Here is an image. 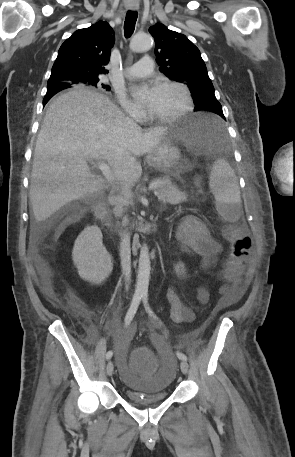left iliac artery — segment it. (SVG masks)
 Masks as SVG:
<instances>
[{"label":"left iliac artery","mask_w":295,"mask_h":457,"mask_svg":"<svg viewBox=\"0 0 295 457\" xmlns=\"http://www.w3.org/2000/svg\"><path fill=\"white\" fill-rule=\"evenodd\" d=\"M142 297H143V303H144V306H145V308H146V311L149 313V315H150L151 317H153L155 320H158L157 316L154 314V312L152 311V309L149 307V304H148V295H147L146 293H144V294L142 295ZM176 355H177L178 358H180V359H182V360H185V361L187 360V357H186L183 353H181V352H176Z\"/></svg>","instance_id":"44dca946"}]
</instances>
